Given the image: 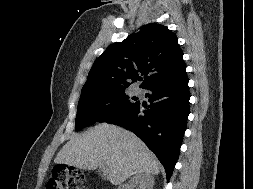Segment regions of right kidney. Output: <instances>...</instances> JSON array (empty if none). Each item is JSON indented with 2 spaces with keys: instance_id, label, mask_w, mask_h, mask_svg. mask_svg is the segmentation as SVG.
I'll return each mask as SVG.
<instances>
[{
  "instance_id": "obj_1",
  "label": "right kidney",
  "mask_w": 253,
  "mask_h": 189,
  "mask_svg": "<svg viewBox=\"0 0 253 189\" xmlns=\"http://www.w3.org/2000/svg\"><path fill=\"white\" fill-rule=\"evenodd\" d=\"M154 178L150 174H138L130 178L127 184L121 186L119 189H133L138 186L139 189H153Z\"/></svg>"
}]
</instances>
